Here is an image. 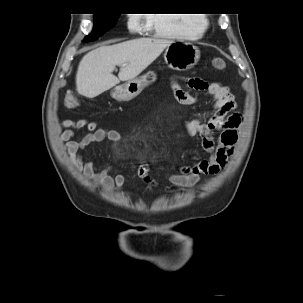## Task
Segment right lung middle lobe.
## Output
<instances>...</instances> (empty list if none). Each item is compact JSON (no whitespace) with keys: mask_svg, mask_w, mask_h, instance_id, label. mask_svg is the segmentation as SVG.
<instances>
[{"mask_svg":"<svg viewBox=\"0 0 303 303\" xmlns=\"http://www.w3.org/2000/svg\"><path fill=\"white\" fill-rule=\"evenodd\" d=\"M120 14H95L94 28L83 42L93 41L115 26Z\"/></svg>","mask_w":303,"mask_h":303,"instance_id":"1","label":"right lung middle lobe"}]
</instances>
